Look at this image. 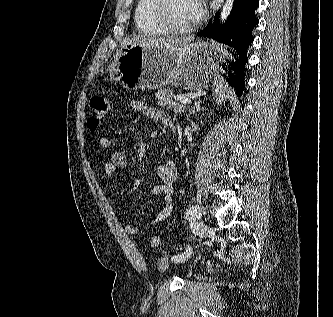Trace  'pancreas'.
<instances>
[{
  "label": "pancreas",
  "instance_id": "1",
  "mask_svg": "<svg viewBox=\"0 0 333 317\" xmlns=\"http://www.w3.org/2000/svg\"><path fill=\"white\" fill-rule=\"evenodd\" d=\"M156 102L168 110H173L176 114L184 112L186 106L181 105L173 99V91L171 89H160L155 94Z\"/></svg>",
  "mask_w": 333,
  "mask_h": 317
}]
</instances>
